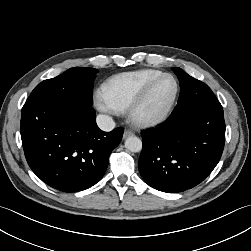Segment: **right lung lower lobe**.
<instances>
[{
    "mask_svg": "<svg viewBox=\"0 0 251 251\" xmlns=\"http://www.w3.org/2000/svg\"><path fill=\"white\" fill-rule=\"evenodd\" d=\"M26 160L46 184L64 192L90 188L104 175L124 130L101 131L92 106L30 96L22 108Z\"/></svg>",
    "mask_w": 251,
    "mask_h": 251,
    "instance_id": "1",
    "label": "right lung lower lobe"
}]
</instances>
